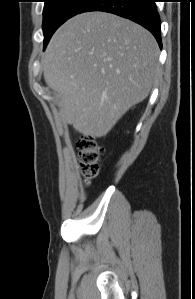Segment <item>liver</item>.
<instances>
[{"mask_svg":"<svg viewBox=\"0 0 195 299\" xmlns=\"http://www.w3.org/2000/svg\"><path fill=\"white\" fill-rule=\"evenodd\" d=\"M159 48L140 25L105 12L78 14L52 36L42 66L62 119L103 137L157 80Z\"/></svg>","mask_w":195,"mask_h":299,"instance_id":"6515ba94","label":"liver"}]
</instances>
